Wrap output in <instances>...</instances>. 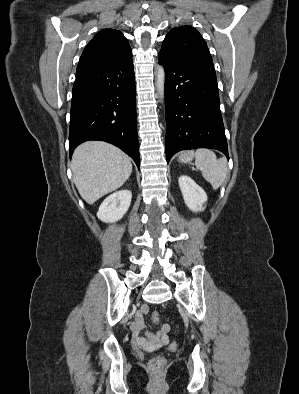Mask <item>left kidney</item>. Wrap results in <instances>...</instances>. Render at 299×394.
<instances>
[{
    "label": "left kidney",
    "mask_w": 299,
    "mask_h": 394,
    "mask_svg": "<svg viewBox=\"0 0 299 394\" xmlns=\"http://www.w3.org/2000/svg\"><path fill=\"white\" fill-rule=\"evenodd\" d=\"M178 182L186 206L193 212L203 211L202 205L207 202L205 191L186 175L180 176Z\"/></svg>",
    "instance_id": "5707ae66"
}]
</instances>
